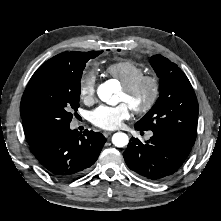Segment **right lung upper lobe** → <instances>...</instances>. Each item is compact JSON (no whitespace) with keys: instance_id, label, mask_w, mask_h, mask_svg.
I'll list each match as a JSON object with an SVG mask.
<instances>
[{"instance_id":"cb5924a9","label":"right lung upper lobe","mask_w":221,"mask_h":221,"mask_svg":"<svg viewBox=\"0 0 221 221\" xmlns=\"http://www.w3.org/2000/svg\"><path fill=\"white\" fill-rule=\"evenodd\" d=\"M79 53L80 52H63L54 56L38 68V70L30 79L28 85H30L31 82L45 69H65L68 67H72ZM20 113L23 120L24 133L28 144L34 143L43 135L48 133L30 119V117L25 113L24 109L22 108V104L20 105Z\"/></svg>"}]
</instances>
